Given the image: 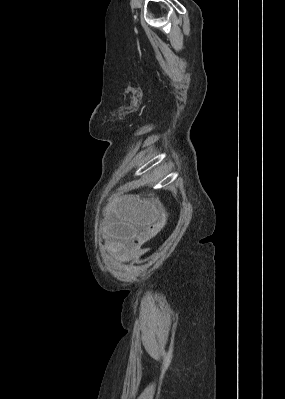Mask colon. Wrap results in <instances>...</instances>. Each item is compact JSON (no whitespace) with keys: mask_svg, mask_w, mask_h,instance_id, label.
Listing matches in <instances>:
<instances>
[{"mask_svg":"<svg viewBox=\"0 0 285 399\" xmlns=\"http://www.w3.org/2000/svg\"><path fill=\"white\" fill-rule=\"evenodd\" d=\"M165 223V219H160L156 224H155V230H159L163 227Z\"/></svg>","mask_w":285,"mask_h":399,"instance_id":"obj_1","label":"colon"}]
</instances>
